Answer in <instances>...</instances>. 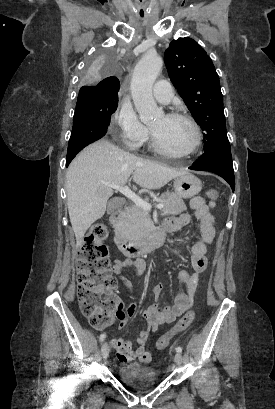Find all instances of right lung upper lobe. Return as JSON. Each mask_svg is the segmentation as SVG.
<instances>
[{
    "label": "right lung upper lobe",
    "mask_w": 275,
    "mask_h": 409,
    "mask_svg": "<svg viewBox=\"0 0 275 409\" xmlns=\"http://www.w3.org/2000/svg\"><path fill=\"white\" fill-rule=\"evenodd\" d=\"M119 86V80L116 77L111 76L109 79L102 80L100 85L83 86L79 93L101 98H114L118 97L117 93L119 91Z\"/></svg>",
    "instance_id": "cb5924a9"
}]
</instances>
